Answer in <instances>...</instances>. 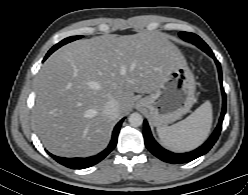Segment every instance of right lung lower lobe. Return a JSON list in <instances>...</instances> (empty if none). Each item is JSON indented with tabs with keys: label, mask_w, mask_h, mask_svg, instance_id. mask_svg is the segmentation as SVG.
Masks as SVG:
<instances>
[{
	"label": "right lung lower lobe",
	"mask_w": 248,
	"mask_h": 195,
	"mask_svg": "<svg viewBox=\"0 0 248 195\" xmlns=\"http://www.w3.org/2000/svg\"><path fill=\"white\" fill-rule=\"evenodd\" d=\"M124 119H122L114 128L112 139L108 145V147L102 151L101 153L87 157V158H64V157H58L55 155L50 154L58 163L72 169H84L91 167L98 162H100L102 159H104L116 146L118 134L120 131V127L122 125Z\"/></svg>",
	"instance_id": "obj_1"
}]
</instances>
